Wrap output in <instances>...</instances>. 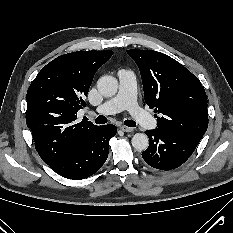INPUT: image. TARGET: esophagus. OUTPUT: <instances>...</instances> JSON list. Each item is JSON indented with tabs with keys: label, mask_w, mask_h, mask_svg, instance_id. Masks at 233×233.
<instances>
[{
	"label": "esophagus",
	"mask_w": 233,
	"mask_h": 233,
	"mask_svg": "<svg viewBox=\"0 0 233 233\" xmlns=\"http://www.w3.org/2000/svg\"><path fill=\"white\" fill-rule=\"evenodd\" d=\"M120 129L124 132H133V128L127 126H121Z\"/></svg>",
	"instance_id": "1"
}]
</instances>
